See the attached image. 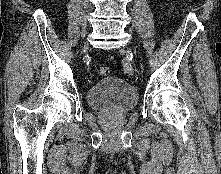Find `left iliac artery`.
<instances>
[{"label": "left iliac artery", "mask_w": 221, "mask_h": 174, "mask_svg": "<svg viewBox=\"0 0 221 174\" xmlns=\"http://www.w3.org/2000/svg\"><path fill=\"white\" fill-rule=\"evenodd\" d=\"M122 66H123L124 71L127 74L131 75V74L134 73V69H133V67L131 65V62H130V59L128 57L122 59Z\"/></svg>", "instance_id": "obj_1"}]
</instances>
